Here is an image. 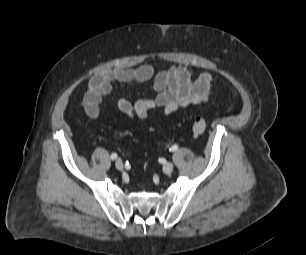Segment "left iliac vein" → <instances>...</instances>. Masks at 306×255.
Segmentation results:
<instances>
[{
  "instance_id": "left-iliac-vein-1",
  "label": "left iliac vein",
  "mask_w": 306,
  "mask_h": 255,
  "mask_svg": "<svg viewBox=\"0 0 306 255\" xmlns=\"http://www.w3.org/2000/svg\"><path fill=\"white\" fill-rule=\"evenodd\" d=\"M162 169L165 174H170L174 169V165L171 162H166Z\"/></svg>"
}]
</instances>
